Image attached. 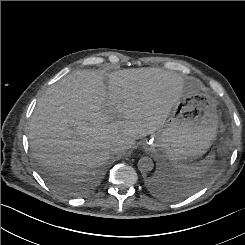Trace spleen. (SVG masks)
Here are the masks:
<instances>
[{
	"label": "spleen",
	"mask_w": 245,
	"mask_h": 245,
	"mask_svg": "<svg viewBox=\"0 0 245 245\" xmlns=\"http://www.w3.org/2000/svg\"><path fill=\"white\" fill-rule=\"evenodd\" d=\"M214 163V154L207 156L205 159L191 164L179 163L175 166L176 171L184 178L190 179L199 177L209 170Z\"/></svg>",
	"instance_id": "obj_1"
}]
</instances>
